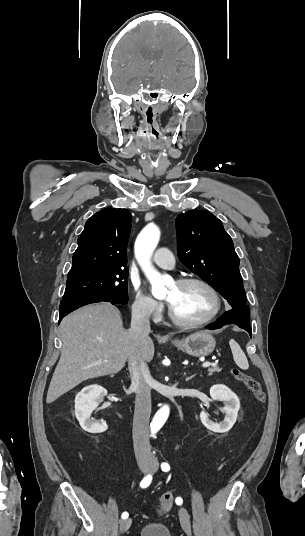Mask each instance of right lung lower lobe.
<instances>
[{
    "label": "right lung lower lobe",
    "instance_id": "obj_1",
    "mask_svg": "<svg viewBox=\"0 0 305 536\" xmlns=\"http://www.w3.org/2000/svg\"><path fill=\"white\" fill-rule=\"evenodd\" d=\"M102 301H105V300L88 299V298L62 300L60 303L59 322L62 320L64 316H66L67 314H69L70 312L74 311L75 309L79 307H82L90 303H96V302H102ZM105 302H111L112 304H120V303L113 302V301H105Z\"/></svg>",
    "mask_w": 305,
    "mask_h": 536
}]
</instances>
